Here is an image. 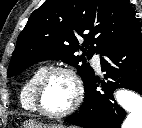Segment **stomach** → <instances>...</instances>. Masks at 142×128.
I'll list each match as a JSON object with an SVG mask.
<instances>
[{"instance_id": "0dacf381", "label": "stomach", "mask_w": 142, "mask_h": 128, "mask_svg": "<svg viewBox=\"0 0 142 128\" xmlns=\"http://www.w3.org/2000/svg\"><path fill=\"white\" fill-rule=\"evenodd\" d=\"M22 128H65L62 124H43L35 120H28Z\"/></svg>"}]
</instances>
